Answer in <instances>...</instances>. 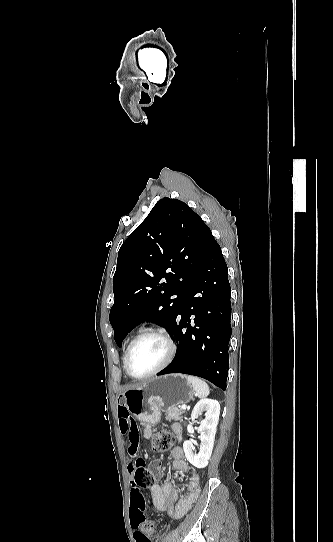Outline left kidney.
<instances>
[{"label":"left kidney","mask_w":333,"mask_h":542,"mask_svg":"<svg viewBox=\"0 0 333 542\" xmlns=\"http://www.w3.org/2000/svg\"><path fill=\"white\" fill-rule=\"evenodd\" d=\"M202 412H205V420H202L199 428H197L201 434L200 440L202 442L199 454H194L193 442H190V440L183 444L184 454L188 462L195 468H206L209 464L220 414L219 402L217 400H200V402H197L192 410V422L187 426L189 434H194L195 428H193L192 424Z\"/></svg>","instance_id":"obj_1"}]
</instances>
